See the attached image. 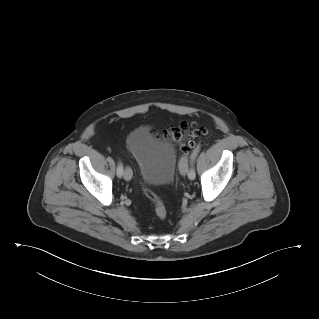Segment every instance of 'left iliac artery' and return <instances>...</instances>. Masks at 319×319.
Returning <instances> with one entry per match:
<instances>
[{
	"label": "left iliac artery",
	"mask_w": 319,
	"mask_h": 319,
	"mask_svg": "<svg viewBox=\"0 0 319 319\" xmlns=\"http://www.w3.org/2000/svg\"><path fill=\"white\" fill-rule=\"evenodd\" d=\"M199 152H200V147H197V148H195L193 150V152L191 153V156H190V165H191V167L189 168V171H188L189 176H190L189 177L190 180H194L195 177H196V173H195V170H194V167H193V163H194V161H195V159H196V157H197Z\"/></svg>",
	"instance_id": "1"
}]
</instances>
